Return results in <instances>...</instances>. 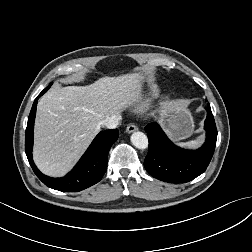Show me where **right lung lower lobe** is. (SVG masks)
Segmentation results:
<instances>
[{
    "label": "right lung lower lobe",
    "instance_id": "1",
    "mask_svg": "<svg viewBox=\"0 0 252 252\" xmlns=\"http://www.w3.org/2000/svg\"><path fill=\"white\" fill-rule=\"evenodd\" d=\"M47 90L44 89L35 99L25 133V152L28 161L37 177L48 187L63 192H78L99 182L107 170L108 152L118 139V129L100 132L77 165L65 177L52 178L42 174L32 159L33 128L36 114L37 100Z\"/></svg>",
    "mask_w": 252,
    "mask_h": 252
}]
</instances>
